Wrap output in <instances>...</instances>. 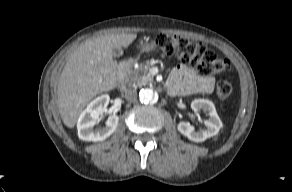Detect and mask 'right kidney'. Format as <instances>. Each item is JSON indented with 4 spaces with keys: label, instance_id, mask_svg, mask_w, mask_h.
I'll list each match as a JSON object with an SVG mask.
<instances>
[{
    "label": "right kidney",
    "instance_id": "obj_1",
    "mask_svg": "<svg viewBox=\"0 0 292 192\" xmlns=\"http://www.w3.org/2000/svg\"><path fill=\"white\" fill-rule=\"evenodd\" d=\"M110 97L107 94L95 98L88 104L86 109L80 114L77 128L78 137L84 141H103L108 138L117 128L119 117L117 115L110 116L106 121V126L93 130L100 114L107 108Z\"/></svg>",
    "mask_w": 292,
    "mask_h": 192
}]
</instances>
